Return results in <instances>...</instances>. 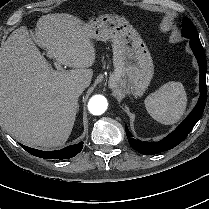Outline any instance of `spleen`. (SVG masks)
Here are the masks:
<instances>
[{"label": "spleen", "instance_id": "obj_1", "mask_svg": "<svg viewBox=\"0 0 209 209\" xmlns=\"http://www.w3.org/2000/svg\"><path fill=\"white\" fill-rule=\"evenodd\" d=\"M147 112L165 125L177 123L185 113L187 94L181 82L170 81L145 99Z\"/></svg>", "mask_w": 209, "mask_h": 209}]
</instances>
